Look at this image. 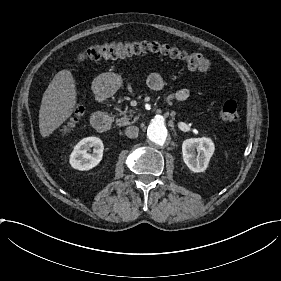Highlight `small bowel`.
<instances>
[{"mask_svg":"<svg viewBox=\"0 0 281 281\" xmlns=\"http://www.w3.org/2000/svg\"><path fill=\"white\" fill-rule=\"evenodd\" d=\"M147 84L155 92L162 90L164 87V81L158 73H150L147 78ZM173 96L176 101H185L190 96V90L186 87L178 88L174 91Z\"/></svg>","mask_w":281,"mask_h":281,"instance_id":"1","label":"small bowel"}]
</instances>
